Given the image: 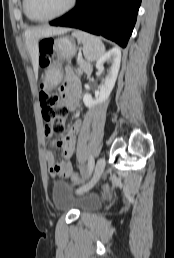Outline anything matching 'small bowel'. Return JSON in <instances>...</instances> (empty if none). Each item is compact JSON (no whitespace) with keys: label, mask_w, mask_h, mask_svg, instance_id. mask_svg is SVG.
I'll use <instances>...</instances> for the list:
<instances>
[{"label":"small bowel","mask_w":174,"mask_h":258,"mask_svg":"<svg viewBox=\"0 0 174 258\" xmlns=\"http://www.w3.org/2000/svg\"><path fill=\"white\" fill-rule=\"evenodd\" d=\"M80 88L79 81L73 75H69L67 79V98L66 104L70 110H75L78 105V91ZM81 127L80 121H75L68 129L65 137L61 142L58 143L62 147L63 154L66 158H71L75 151V134L79 131ZM44 134L46 138H51V133L49 129L45 126ZM46 160L49 171L53 175H64L67 177H72L71 173L73 172V167L69 161H56L54 152L52 148H48L46 151ZM58 168L59 170H53ZM79 177V176H78Z\"/></svg>","instance_id":"1"}]
</instances>
